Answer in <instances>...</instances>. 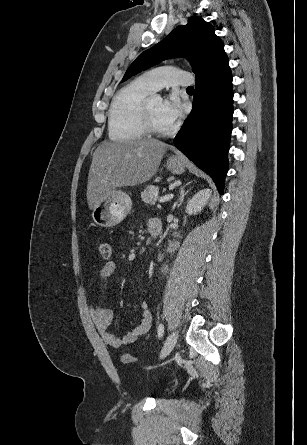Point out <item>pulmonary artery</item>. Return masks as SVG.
I'll use <instances>...</instances> for the list:
<instances>
[{
    "label": "pulmonary artery",
    "instance_id": "e3ab8cb5",
    "mask_svg": "<svg viewBox=\"0 0 307 445\" xmlns=\"http://www.w3.org/2000/svg\"><path fill=\"white\" fill-rule=\"evenodd\" d=\"M143 80L156 90L166 84H182L183 88L187 84L193 83V76L188 75L187 69H178L176 67H166V69H147L142 73Z\"/></svg>",
    "mask_w": 307,
    "mask_h": 445
}]
</instances>
